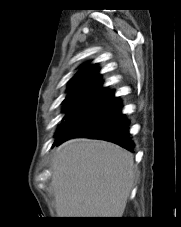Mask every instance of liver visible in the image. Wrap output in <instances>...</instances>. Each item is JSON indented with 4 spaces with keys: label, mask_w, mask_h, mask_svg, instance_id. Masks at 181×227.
Listing matches in <instances>:
<instances>
[{
    "label": "liver",
    "mask_w": 181,
    "mask_h": 227,
    "mask_svg": "<svg viewBox=\"0 0 181 227\" xmlns=\"http://www.w3.org/2000/svg\"><path fill=\"white\" fill-rule=\"evenodd\" d=\"M132 153L110 142L71 139L51 162L58 217H122L134 184Z\"/></svg>",
    "instance_id": "liver-1"
}]
</instances>
